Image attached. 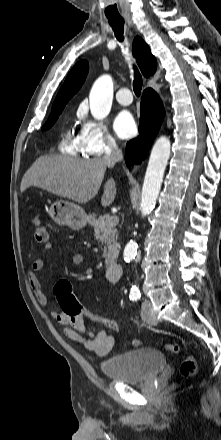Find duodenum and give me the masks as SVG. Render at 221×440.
Wrapping results in <instances>:
<instances>
[{
	"mask_svg": "<svg viewBox=\"0 0 221 440\" xmlns=\"http://www.w3.org/2000/svg\"><path fill=\"white\" fill-rule=\"evenodd\" d=\"M123 275V268L117 262H111L106 266V277L112 281L117 282Z\"/></svg>",
	"mask_w": 221,
	"mask_h": 440,
	"instance_id": "410a0bca",
	"label": "duodenum"
}]
</instances>
